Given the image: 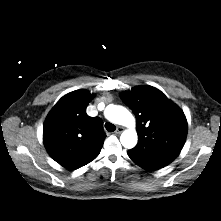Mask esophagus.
<instances>
[{
	"mask_svg": "<svg viewBox=\"0 0 221 221\" xmlns=\"http://www.w3.org/2000/svg\"><path fill=\"white\" fill-rule=\"evenodd\" d=\"M124 128L121 126H118L117 129L115 130V134H121L123 132Z\"/></svg>",
	"mask_w": 221,
	"mask_h": 221,
	"instance_id": "obj_1",
	"label": "esophagus"
}]
</instances>
